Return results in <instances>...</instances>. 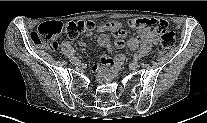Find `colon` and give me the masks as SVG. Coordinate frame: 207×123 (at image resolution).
Here are the masks:
<instances>
[{"mask_svg":"<svg viewBox=\"0 0 207 123\" xmlns=\"http://www.w3.org/2000/svg\"><path fill=\"white\" fill-rule=\"evenodd\" d=\"M129 27L133 29H149L156 31L161 36V48L159 53L171 49L175 44V36L169 30L168 24L164 20L155 18H134L127 21ZM96 28V23L92 20H79L68 22L65 27L60 22H47L41 24L30 34L31 41L36 45H42L49 49H57V37L64 29L66 36L76 39L81 35L90 34ZM112 64V63H110Z\"/></svg>","mask_w":207,"mask_h":123,"instance_id":"1","label":"colon"}]
</instances>
